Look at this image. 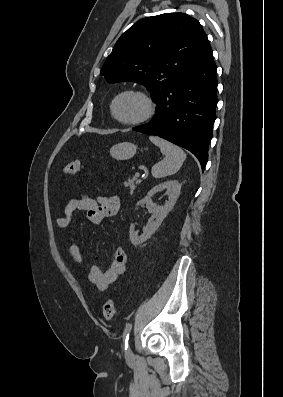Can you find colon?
Listing matches in <instances>:
<instances>
[{
  "label": "colon",
  "instance_id": "obj_1",
  "mask_svg": "<svg viewBox=\"0 0 283 397\" xmlns=\"http://www.w3.org/2000/svg\"><path fill=\"white\" fill-rule=\"evenodd\" d=\"M87 172V167L80 161H72L65 165L64 173L67 175H76ZM116 314V307L113 300H107L103 305V317L106 320L112 319Z\"/></svg>",
  "mask_w": 283,
  "mask_h": 397
}]
</instances>
